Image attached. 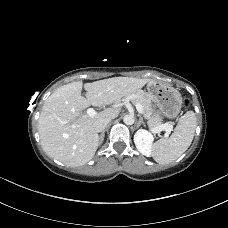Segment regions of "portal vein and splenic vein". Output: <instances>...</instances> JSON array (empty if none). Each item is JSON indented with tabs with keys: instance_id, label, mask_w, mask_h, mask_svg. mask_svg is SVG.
<instances>
[{
	"instance_id": "portal-vein-and-splenic-vein-1",
	"label": "portal vein and splenic vein",
	"mask_w": 228,
	"mask_h": 228,
	"mask_svg": "<svg viewBox=\"0 0 228 228\" xmlns=\"http://www.w3.org/2000/svg\"><path fill=\"white\" fill-rule=\"evenodd\" d=\"M135 107H136L137 111H138L140 114H143V107H142L141 104L136 103V104H135ZM87 115L90 116V117H92V116L96 115V111H95L93 108H88V109H87ZM162 130H165V131H166V134H169V133L171 132V130H172V125L170 126V125H168V124H163V125H161L160 127L156 128V129L154 130V132H160V131H162Z\"/></svg>"
}]
</instances>
